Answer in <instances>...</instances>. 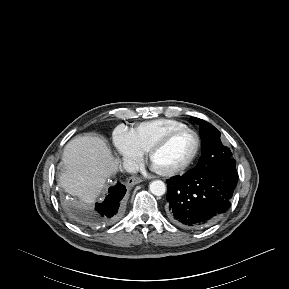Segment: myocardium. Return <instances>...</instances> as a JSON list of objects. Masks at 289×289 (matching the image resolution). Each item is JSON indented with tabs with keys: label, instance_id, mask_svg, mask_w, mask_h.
Instances as JSON below:
<instances>
[{
	"label": "myocardium",
	"instance_id": "f54148a6",
	"mask_svg": "<svg viewBox=\"0 0 289 289\" xmlns=\"http://www.w3.org/2000/svg\"><path fill=\"white\" fill-rule=\"evenodd\" d=\"M182 133H191L194 135L195 140H196V145H195V149L192 153V155L189 157V159L184 162L182 165L168 170V171H158L156 169H154L151 165L152 162V158L154 157V155L160 151L162 148H164L174 137H176L179 134ZM201 137L199 135V133L189 127H184V128H179V129H175L173 131H170L169 133H167L166 135H164L162 138H160L156 143H154L150 149L147 151V161L149 163V165L152 167V169L158 173L159 175L163 176V177H172L175 175H178L180 173H183L184 171H186L196 160L197 156L199 155L200 149H201Z\"/></svg>",
	"mask_w": 289,
	"mask_h": 289
}]
</instances>
